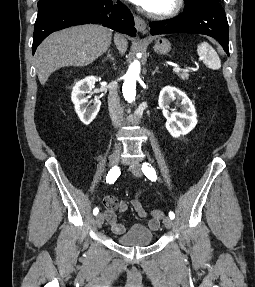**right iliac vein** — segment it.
I'll return each instance as SVG.
<instances>
[{"label":"right iliac vein","instance_id":"63e3f726","mask_svg":"<svg viewBox=\"0 0 255 287\" xmlns=\"http://www.w3.org/2000/svg\"><path fill=\"white\" fill-rule=\"evenodd\" d=\"M120 155H121V149L118 148L116 149L110 156L109 158V163L111 166H116L118 163H119V160H120ZM96 225L97 227H101L103 222H104V215L102 213H99L97 216H96Z\"/></svg>","mask_w":255,"mask_h":287}]
</instances>
